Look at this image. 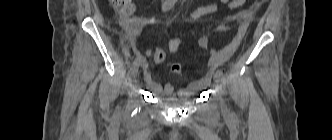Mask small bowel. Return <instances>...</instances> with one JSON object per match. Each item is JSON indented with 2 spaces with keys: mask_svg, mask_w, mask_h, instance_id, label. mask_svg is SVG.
Listing matches in <instances>:
<instances>
[{
  "mask_svg": "<svg viewBox=\"0 0 332 140\" xmlns=\"http://www.w3.org/2000/svg\"><path fill=\"white\" fill-rule=\"evenodd\" d=\"M246 0H217L216 2H213L207 6L200 7L198 9H195L191 12L192 17L199 18L203 15L210 14L215 12L218 9V4H223L226 7L230 9H235L240 6H242L245 3ZM253 8H250L248 10H245L241 13V22L238 25L237 33L234 36L233 40L230 44L225 46L219 51H216L211 48L210 46V39L207 36H203L199 39L198 44L203 49L209 50V59L207 62V72L206 74L201 77L200 79L190 83L187 87L182 88L178 90L177 96L179 98H187L198 91L204 89L211 81L213 74L216 70V68L220 65H222L224 62L228 61L234 53L239 48L246 32L249 26V20L252 17L253 14ZM182 39L180 37H176L172 39L169 42V50L171 53H177L181 44ZM142 69H143V77L146 86L148 89H150L155 94L167 97V98H173V94L176 90V86L171 83H166L164 85L159 84L155 80H153L149 70H148V64L143 61L142 62ZM172 70L176 73L179 72V66L174 65L172 67Z\"/></svg>",
  "mask_w": 332,
  "mask_h": 140,
  "instance_id": "c3829d8e",
  "label": "small bowel"
}]
</instances>
